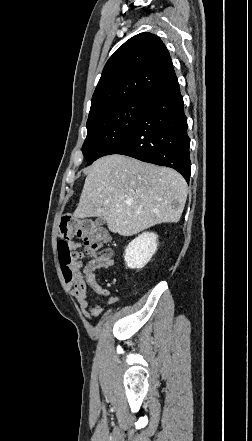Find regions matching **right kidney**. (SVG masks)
<instances>
[{"label":"right kidney","mask_w":252,"mask_h":441,"mask_svg":"<svg viewBox=\"0 0 252 441\" xmlns=\"http://www.w3.org/2000/svg\"><path fill=\"white\" fill-rule=\"evenodd\" d=\"M157 234L143 232L132 240L125 249L124 260L130 269L143 268L157 250Z\"/></svg>","instance_id":"obj_1"}]
</instances>
